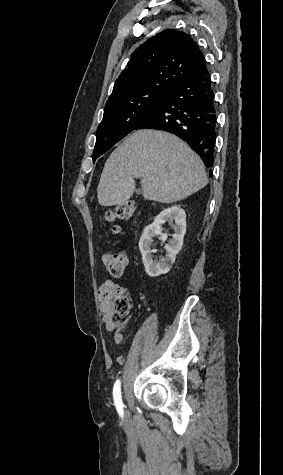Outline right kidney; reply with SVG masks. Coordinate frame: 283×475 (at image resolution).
<instances>
[{
  "label": "right kidney",
  "mask_w": 283,
  "mask_h": 475,
  "mask_svg": "<svg viewBox=\"0 0 283 475\" xmlns=\"http://www.w3.org/2000/svg\"><path fill=\"white\" fill-rule=\"evenodd\" d=\"M165 222L173 224L172 226L175 234L173 238L169 239V243H165L166 257L161 259H154L151 253V245L153 236H161L162 241H166L168 234H162V226ZM186 232V214L180 206H172V208H166L163 212H160L156 216L153 224L146 226L141 238L139 239V249L142 253L143 263L145 265V271L151 277H157L161 273H167L170 271L175 257L180 251L183 245V238Z\"/></svg>",
  "instance_id": "obj_1"
}]
</instances>
